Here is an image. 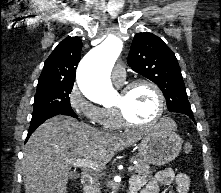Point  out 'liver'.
Segmentation results:
<instances>
[{"instance_id": "liver-1", "label": "liver", "mask_w": 221, "mask_h": 193, "mask_svg": "<svg viewBox=\"0 0 221 193\" xmlns=\"http://www.w3.org/2000/svg\"><path fill=\"white\" fill-rule=\"evenodd\" d=\"M169 128L176 124L162 119ZM150 130L124 134L99 131L69 116L48 119L31 135L23 152L22 172L26 193H67L71 164L67 160L88 159L108 163L116 152L139 141Z\"/></svg>"}]
</instances>
